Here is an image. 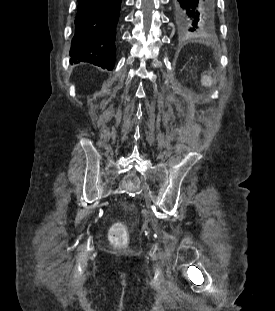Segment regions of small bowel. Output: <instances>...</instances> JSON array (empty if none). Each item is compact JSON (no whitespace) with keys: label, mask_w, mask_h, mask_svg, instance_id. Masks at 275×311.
<instances>
[{"label":"small bowel","mask_w":275,"mask_h":311,"mask_svg":"<svg viewBox=\"0 0 275 311\" xmlns=\"http://www.w3.org/2000/svg\"><path fill=\"white\" fill-rule=\"evenodd\" d=\"M206 78L210 79L211 75L207 74ZM214 85H215L214 80H198V87H204V92L206 93L207 97L211 96Z\"/></svg>","instance_id":"c3829d8e"}]
</instances>
